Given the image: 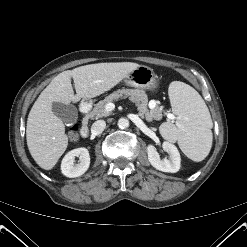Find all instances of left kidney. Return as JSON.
<instances>
[{
	"label": "left kidney",
	"mask_w": 247,
	"mask_h": 247,
	"mask_svg": "<svg viewBox=\"0 0 247 247\" xmlns=\"http://www.w3.org/2000/svg\"><path fill=\"white\" fill-rule=\"evenodd\" d=\"M163 150L170 155V160L161 159L159 153L153 145H148V160L151 165L162 172L176 173L180 169L181 158L178 149L167 141L162 144Z\"/></svg>",
	"instance_id": "1"
}]
</instances>
